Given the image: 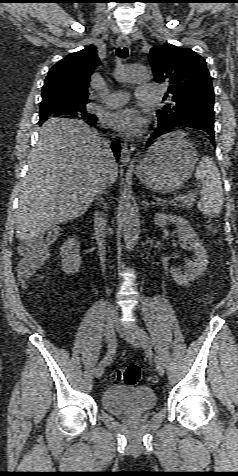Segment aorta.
Segmentation results:
<instances>
[{
  "label": "aorta",
  "mask_w": 238,
  "mask_h": 476,
  "mask_svg": "<svg viewBox=\"0 0 238 476\" xmlns=\"http://www.w3.org/2000/svg\"><path fill=\"white\" fill-rule=\"evenodd\" d=\"M118 78L125 82L146 83L149 80V75L140 65H125L119 72ZM121 214L124 243L127 250L131 252L134 250L138 237L137 211L131 201H124Z\"/></svg>",
  "instance_id": "obj_1"
}]
</instances>
